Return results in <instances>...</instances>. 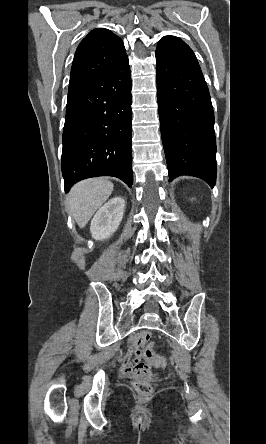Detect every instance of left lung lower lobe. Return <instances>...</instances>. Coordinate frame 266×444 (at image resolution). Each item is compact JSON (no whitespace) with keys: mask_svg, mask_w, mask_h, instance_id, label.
<instances>
[{"mask_svg":"<svg viewBox=\"0 0 266 444\" xmlns=\"http://www.w3.org/2000/svg\"><path fill=\"white\" fill-rule=\"evenodd\" d=\"M161 135L170 181L179 175L216 181L214 112L200 67L156 56Z\"/></svg>","mask_w":266,"mask_h":444,"instance_id":"1","label":"left lung lower lobe"}]
</instances>
